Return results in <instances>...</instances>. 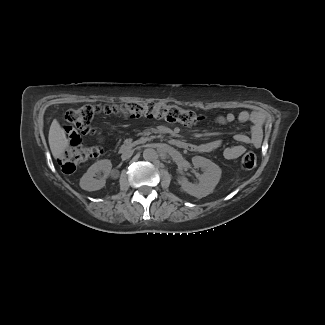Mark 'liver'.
<instances>
[{
	"label": "liver",
	"mask_w": 325,
	"mask_h": 325,
	"mask_svg": "<svg viewBox=\"0 0 325 325\" xmlns=\"http://www.w3.org/2000/svg\"><path fill=\"white\" fill-rule=\"evenodd\" d=\"M48 141L50 150L55 159L60 158L69 145L65 132L56 119L51 123Z\"/></svg>",
	"instance_id": "obj_1"
}]
</instances>
